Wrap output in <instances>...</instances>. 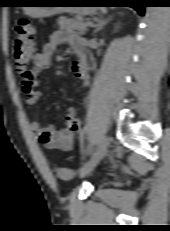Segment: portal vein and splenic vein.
<instances>
[{"label": "portal vein and splenic vein", "mask_w": 170, "mask_h": 231, "mask_svg": "<svg viewBox=\"0 0 170 231\" xmlns=\"http://www.w3.org/2000/svg\"><path fill=\"white\" fill-rule=\"evenodd\" d=\"M88 26H92L93 24L91 23V22H88V24H87Z\"/></svg>", "instance_id": "obj_1"}]
</instances>
